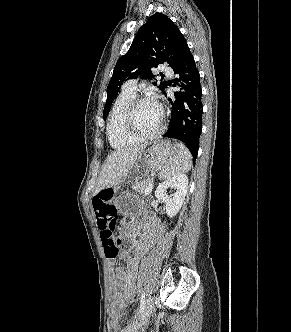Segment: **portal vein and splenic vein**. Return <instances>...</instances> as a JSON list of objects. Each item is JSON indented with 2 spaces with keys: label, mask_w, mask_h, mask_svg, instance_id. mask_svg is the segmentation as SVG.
Returning <instances> with one entry per match:
<instances>
[{
  "label": "portal vein and splenic vein",
  "mask_w": 291,
  "mask_h": 332,
  "mask_svg": "<svg viewBox=\"0 0 291 332\" xmlns=\"http://www.w3.org/2000/svg\"><path fill=\"white\" fill-rule=\"evenodd\" d=\"M153 186H154L153 182L151 184H149V186L147 187V189L145 191V195H148L152 191Z\"/></svg>",
  "instance_id": "18ae733b"
}]
</instances>
